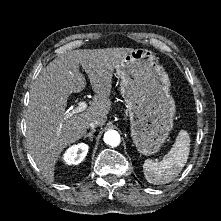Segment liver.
<instances>
[{"label": "liver", "instance_id": "6515ba94", "mask_svg": "<svg viewBox=\"0 0 221 221\" xmlns=\"http://www.w3.org/2000/svg\"><path fill=\"white\" fill-rule=\"evenodd\" d=\"M133 48L78 49L60 54L42 70L30 89L26 111V142L41 173L54 180L55 164L62 151L82 138L94 119L103 126L112 102L113 72L117 64ZM88 75L95 92L85 112L66 116L67 100L72 93L81 92Z\"/></svg>", "mask_w": 221, "mask_h": 221}]
</instances>
